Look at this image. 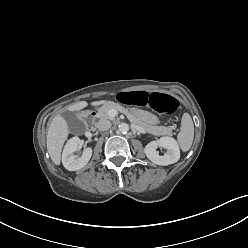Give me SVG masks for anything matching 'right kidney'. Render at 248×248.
Segmentation results:
<instances>
[{"mask_svg":"<svg viewBox=\"0 0 248 248\" xmlns=\"http://www.w3.org/2000/svg\"><path fill=\"white\" fill-rule=\"evenodd\" d=\"M80 139L73 137L66 143L62 153L63 166L69 171H77L83 168L92 156V148L88 147L83 150L82 156L77 157L74 154L79 148Z\"/></svg>","mask_w":248,"mask_h":248,"instance_id":"1","label":"right kidney"}]
</instances>
